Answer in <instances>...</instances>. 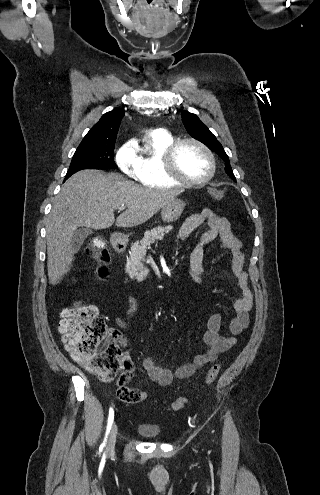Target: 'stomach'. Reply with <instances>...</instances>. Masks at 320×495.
<instances>
[{
  "mask_svg": "<svg viewBox=\"0 0 320 495\" xmlns=\"http://www.w3.org/2000/svg\"><path fill=\"white\" fill-rule=\"evenodd\" d=\"M185 205V202L180 199L169 202L161 210L162 221L167 223L176 221L184 211Z\"/></svg>",
  "mask_w": 320,
  "mask_h": 495,
  "instance_id": "1",
  "label": "stomach"
}]
</instances>
